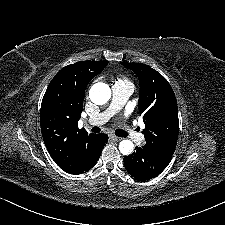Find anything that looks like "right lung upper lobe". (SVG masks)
Instances as JSON below:
<instances>
[{"label": "right lung upper lobe", "instance_id": "obj_1", "mask_svg": "<svg viewBox=\"0 0 225 225\" xmlns=\"http://www.w3.org/2000/svg\"><path fill=\"white\" fill-rule=\"evenodd\" d=\"M107 61H81L62 68L44 94L40 123L45 146L55 163L70 174L84 167L96 149V134L78 128L89 81Z\"/></svg>", "mask_w": 225, "mask_h": 225}]
</instances>
